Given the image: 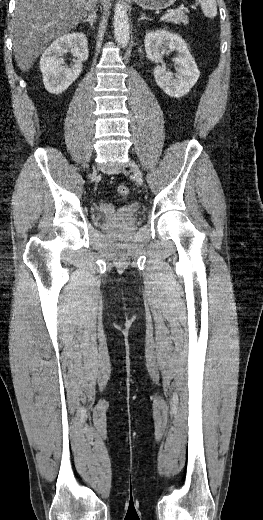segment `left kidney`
Returning a JSON list of instances; mask_svg holds the SVG:
<instances>
[{"instance_id": "5707ae66", "label": "left kidney", "mask_w": 263, "mask_h": 520, "mask_svg": "<svg viewBox=\"0 0 263 520\" xmlns=\"http://www.w3.org/2000/svg\"><path fill=\"white\" fill-rule=\"evenodd\" d=\"M145 50L151 61L162 62L165 51H176L174 59L176 74L167 72L165 66L154 69L157 85L169 96L179 98L186 95L197 82L200 71L190 54L185 41L177 34L166 31H150L145 35Z\"/></svg>"}]
</instances>
